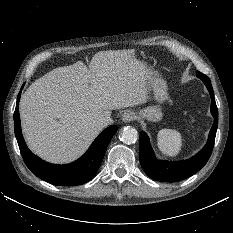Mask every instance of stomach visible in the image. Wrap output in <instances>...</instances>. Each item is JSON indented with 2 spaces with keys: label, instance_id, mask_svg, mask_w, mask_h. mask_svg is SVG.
<instances>
[{
  "label": "stomach",
  "instance_id": "obj_1",
  "mask_svg": "<svg viewBox=\"0 0 233 233\" xmlns=\"http://www.w3.org/2000/svg\"><path fill=\"white\" fill-rule=\"evenodd\" d=\"M151 72V77L148 79V83L150 90L152 91L153 98L158 104L142 109L139 112V115L141 118L147 119L148 121L158 122L163 116L161 104L166 102L169 96L167 93L166 82L153 69H151Z\"/></svg>",
  "mask_w": 233,
  "mask_h": 233
}]
</instances>
